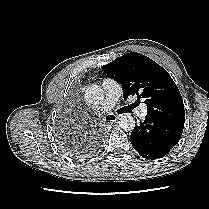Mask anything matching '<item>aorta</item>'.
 Listing matches in <instances>:
<instances>
[{
    "mask_svg": "<svg viewBox=\"0 0 209 209\" xmlns=\"http://www.w3.org/2000/svg\"><path fill=\"white\" fill-rule=\"evenodd\" d=\"M85 99L89 104H101L104 99V91L99 85L88 86L85 90ZM118 126L125 131H131L135 127V120L130 114H122Z\"/></svg>",
    "mask_w": 209,
    "mask_h": 209,
    "instance_id": "762f6f07",
    "label": "aorta"
}]
</instances>
